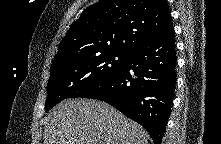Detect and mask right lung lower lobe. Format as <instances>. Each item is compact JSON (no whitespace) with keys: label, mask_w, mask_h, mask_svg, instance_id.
Instances as JSON below:
<instances>
[{"label":"right lung lower lobe","mask_w":221,"mask_h":144,"mask_svg":"<svg viewBox=\"0 0 221 144\" xmlns=\"http://www.w3.org/2000/svg\"><path fill=\"white\" fill-rule=\"evenodd\" d=\"M176 59L172 26L133 49L115 75L80 97L109 103L161 144L174 97Z\"/></svg>","instance_id":"1"}]
</instances>
